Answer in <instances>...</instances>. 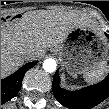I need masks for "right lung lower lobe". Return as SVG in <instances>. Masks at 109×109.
Segmentation results:
<instances>
[{"mask_svg":"<svg viewBox=\"0 0 109 109\" xmlns=\"http://www.w3.org/2000/svg\"><path fill=\"white\" fill-rule=\"evenodd\" d=\"M36 63L37 61L27 63L9 77L1 80V104L12 99L20 91L26 71Z\"/></svg>","mask_w":109,"mask_h":109,"instance_id":"right-lung-lower-lobe-1","label":"right lung lower lobe"}]
</instances>
